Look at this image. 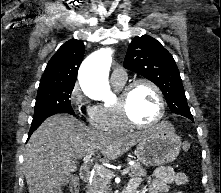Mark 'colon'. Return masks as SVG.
Here are the masks:
<instances>
[{"instance_id":"1","label":"colon","mask_w":221,"mask_h":193,"mask_svg":"<svg viewBox=\"0 0 221 193\" xmlns=\"http://www.w3.org/2000/svg\"><path fill=\"white\" fill-rule=\"evenodd\" d=\"M183 149L185 151H188L190 149V144L189 143H184L183 144ZM70 193H79V182L77 179H73L71 184H70Z\"/></svg>"}]
</instances>
